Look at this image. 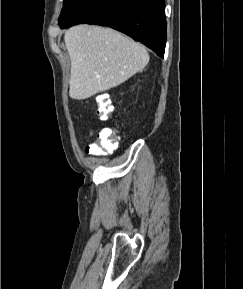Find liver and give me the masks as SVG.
Segmentation results:
<instances>
[{"mask_svg":"<svg viewBox=\"0 0 243 289\" xmlns=\"http://www.w3.org/2000/svg\"><path fill=\"white\" fill-rule=\"evenodd\" d=\"M64 41L71 60L69 95L76 100L122 84L149 62L142 44L110 28L77 25Z\"/></svg>","mask_w":243,"mask_h":289,"instance_id":"liver-1","label":"liver"}]
</instances>
